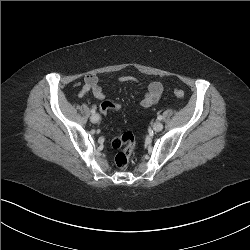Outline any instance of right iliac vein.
Masks as SVG:
<instances>
[{"label": "right iliac vein", "instance_id": "1", "mask_svg": "<svg viewBox=\"0 0 250 250\" xmlns=\"http://www.w3.org/2000/svg\"><path fill=\"white\" fill-rule=\"evenodd\" d=\"M100 117L98 114H92V116L90 117V120L92 123H97L99 121Z\"/></svg>", "mask_w": 250, "mask_h": 250}]
</instances>
